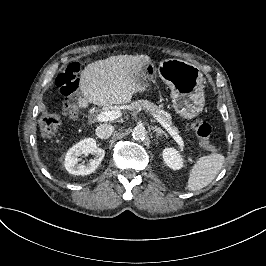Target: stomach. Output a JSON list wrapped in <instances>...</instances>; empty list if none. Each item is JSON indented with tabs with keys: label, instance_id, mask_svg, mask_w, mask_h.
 <instances>
[{
	"label": "stomach",
	"instance_id": "obj_1",
	"mask_svg": "<svg viewBox=\"0 0 266 266\" xmlns=\"http://www.w3.org/2000/svg\"><path fill=\"white\" fill-rule=\"evenodd\" d=\"M158 72L171 88L174 112L187 121L198 117L204 110L206 102L203 90L204 76L201 70L188 62L170 59L160 63ZM147 75L150 80L153 79L152 72Z\"/></svg>",
	"mask_w": 266,
	"mask_h": 266
}]
</instances>
